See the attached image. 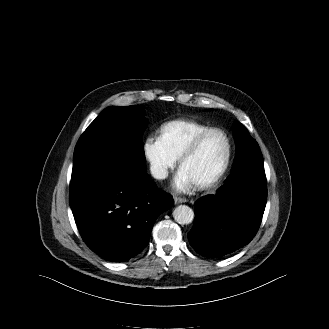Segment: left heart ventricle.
I'll list each match as a JSON object with an SVG mask.
<instances>
[{
    "label": "left heart ventricle",
    "mask_w": 329,
    "mask_h": 329,
    "mask_svg": "<svg viewBox=\"0 0 329 329\" xmlns=\"http://www.w3.org/2000/svg\"><path fill=\"white\" fill-rule=\"evenodd\" d=\"M226 154V140L220 133L208 135L196 153L181 167L197 185L210 179L221 167Z\"/></svg>",
    "instance_id": "b2bd125f"
}]
</instances>
